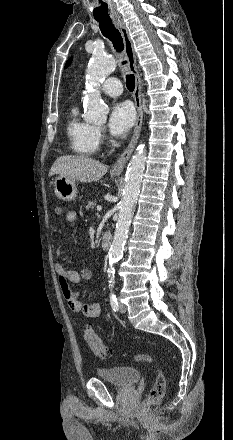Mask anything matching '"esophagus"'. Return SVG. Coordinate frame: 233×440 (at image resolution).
<instances>
[{"instance_id":"obj_1","label":"esophagus","mask_w":233,"mask_h":440,"mask_svg":"<svg viewBox=\"0 0 233 440\" xmlns=\"http://www.w3.org/2000/svg\"><path fill=\"white\" fill-rule=\"evenodd\" d=\"M113 22L120 31L123 39L124 55L127 59V67L129 71L135 76L134 102L137 109V120L132 139L128 147L124 150V152L121 154V156L111 169L113 173L120 174L137 144L142 127L143 110L141 104V78L136 65V54L134 52L133 43L131 41L128 29L123 19L120 16H116L113 18Z\"/></svg>"}]
</instances>
